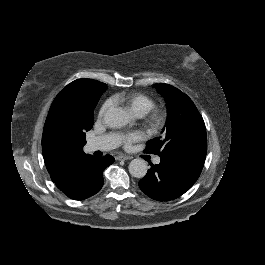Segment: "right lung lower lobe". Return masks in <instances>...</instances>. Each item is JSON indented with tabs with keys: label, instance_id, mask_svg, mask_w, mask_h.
I'll list each match as a JSON object with an SVG mask.
<instances>
[{
	"label": "right lung lower lobe",
	"instance_id": "obj_1",
	"mask_svg": "<svg viewBox=\"0 0 265 265\" xmlns=\"http://www.w3.org/2000/svg\"><path fill=\"white\" fill-rule=\"evenodd\" d=\"M113 162L114 158L110 155L102 158L86 155L61 180L54 183L69 198L86 199L102 188L103 171Z\"/></svg>",
	"mask_w": 265,
	"mask_h": 265
}]
</instances>
